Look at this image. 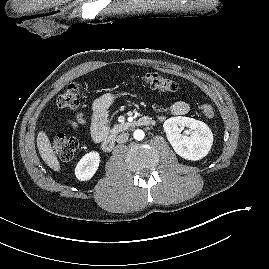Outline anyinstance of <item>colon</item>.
<instances>
[{
	"mask_svg": "<svg viewBox=\"0 0 269 269\" xmlns=\"http://www.w3.org/2000/svg\"><path fill=\"white\" fill-rule=\"evenodd\" d=\"M147 86L162 92H175L178 84L158 73L149 72L143 77ZM80 86L77 83L69 84L57 99V106L62 110L74 111L80 105ZM198 112L202 117L211 118L214 115V107L211 103H202L198 106ZM79 147L75 138L63 134L57 135L53 140V150L63 161L71 160Z\"/></svg>",
	"mask_w": 269,
	"mask_h": 269,
	"instance_id": "1",
	"label": "colon"
}]
</instances>
